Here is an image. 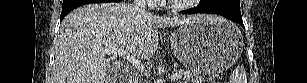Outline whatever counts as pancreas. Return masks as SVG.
<instances>
[{
    "label": "pancreas",
    "instance_id": "cf45deb5",
    "mask_svg": "<svg viewBox=\"0 0 307 83\" xmlns=\"http://www.w3.org/2000/svg\"><path fill=\"white\" fill-rule=\"evenodd\" d=\"M175 73H179L182 75L183 81L186 83H204V78L198 73L194 72H186L184 70L175 71ZM212 83H216V81H211Z\"/></svg>",
    "mask_w": 307,
    "mask_h": 83
}]
</instances>
